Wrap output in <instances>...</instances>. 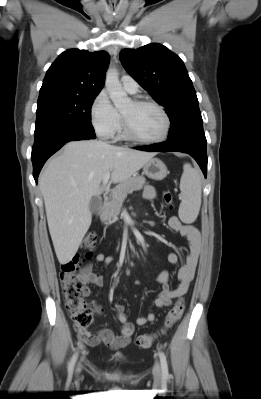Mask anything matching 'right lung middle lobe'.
<instances>
[{
    "label": "right lung middle lobe",
    "instance_id": "1",
    "mask_svg": "<svg viewBox=\"0 0 261 399\" xmlns=\"http://www.w3.org/2000/svg\"><path fill=\"white\" fill-rule=\"evenodd\" d=\"M96 96L52 94L39 97L35 130L51 124L67 123L93 131L90 109Z\"/></svg>",
    "mask_w": 261,
    "mask_h": 399
}]
</instances>
